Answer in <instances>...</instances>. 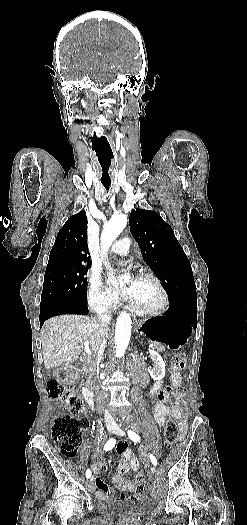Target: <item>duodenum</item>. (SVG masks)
<instances>
[{
	"label": "duodenum",
	"mask_w": 247,
	"mask_h": 525,
	"mask_svg": "<svg viewBox=\"0 0 247 525\" xmlns=\"http://www.w3.org/2000/svg\"><path fill=\"white\" fill-rule=\"evenodd\" d=\"M84 369H85L84 360L82 358H77L70 364V369L64 374L66 377L72 378V377H75L78 373L82 372ZM83 395H84V398H85V401L88 407L90 409H94L95 408V397L90 387L87 384L83 385Z\"/></svg>",
	"instance_id": "410a0bca"
}]
</instances>
